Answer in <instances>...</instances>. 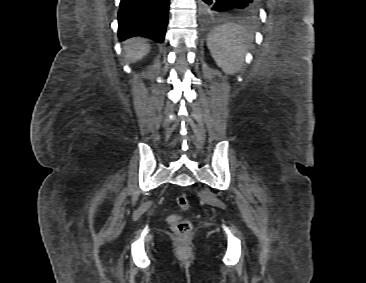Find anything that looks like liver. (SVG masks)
I'll use <instances>...</instances> for the list:
<instances>
[{"label": "liver", "instance_id": "obj_1", "mask_svg": "<svg viewBox=\"0 0 366 283\" xmlns=\"http://www.w3.org/2000/svg\"><path fill=\"white\" fill-rule=\"evenodd\" d=\"M150 45L145 39L134 37L124 42L126 58L132 62L142 59L150 51Z\"/></svg>", "mask_w": 366, "mask_h": 283}]
</instances>
